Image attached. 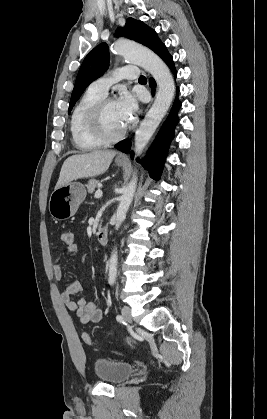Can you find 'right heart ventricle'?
Returning a JSON list of instances; mask_svg holds the SVG:
<instances>
[{
	"label": "right heart ventricle",
	"instance_id": "obj_1",
	"mask_svg": "<svg viewBox=\"0 0 267 419\" xmlns=\"http://www.w3.org/2000/svg\"><path fill=\"white\" fill-rule=\"evenodd\" d=\"M105 95L89 88L76 103L70 118V131L74 146L82 151H92L104 143L90 131L88 115L92 106Z\"/></svg>",
	"mask_w": 267,
	"mask_h": 419
}]
</instances>
